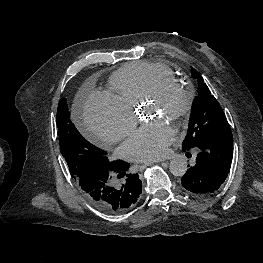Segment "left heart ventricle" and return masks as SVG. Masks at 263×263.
<instances>
[{
  "label": "left heart ventricle",
  "mask_w": 263,
  "mask_h": 263,
  "mask_svg": "<svg viewBox=\"0 0 263 263\" xmlns=\"http://www.w3.org/2000/svg\"><path fill=\"white\" fill-rule=\"evenodd\" d=\"M181 96L176 92L169 93L160 102H149L146 107V112L149 116H161L170 119L171 114L180 106Z\"/></svg>",
  "instance_id": "left-heart-ventricle-1"
}]
</instances>
